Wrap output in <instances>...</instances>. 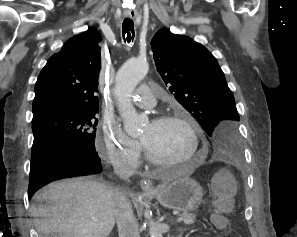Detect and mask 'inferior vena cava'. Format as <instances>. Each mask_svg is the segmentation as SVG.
I'll return each instance as SVG.
<instances>
[{
    "label": "inferior vena cava",
    "instance_id": "inferior-vena-cava-1",
    "mask_svg": "<svg viewBox=\"0 0 297 237\" xmlns=\"http://www.w3.org/2000/svg\"><path fill=\"white\" fill-rule=\"evenodd\" d=\"M115 173L124 180L132 175V171L125 166L116 167ZM113 206L119 237H140L138 223L133 216L132 205L122 192H114Z\"/></svg>",
    "mask_w": 297,
    "mask_h": 237
}]
</instances>
